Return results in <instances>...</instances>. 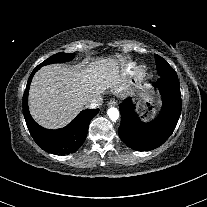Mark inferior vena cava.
Segmentation results:
<instances>
[{
    "instance_id": "inferior-vena-cava-1",
    "label": "inferior vena cava",
    "mask_w": 207,
    "mask_h": 207,
    "mask_svg": "<svg viewBox=\"0 0 207 207\" xmlns=\"http://www.w3.org/2000/svg\"><path fill=\"white\" fill-rule=\"evenodd\" d=\"M102 103H103L102 97L96 96L90 99L85 107L90 109H96L99 108L102 105Z\"/></svg>"
}]
</instances>
